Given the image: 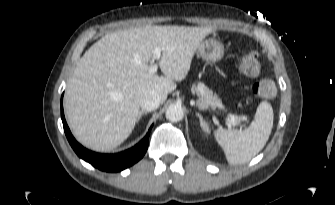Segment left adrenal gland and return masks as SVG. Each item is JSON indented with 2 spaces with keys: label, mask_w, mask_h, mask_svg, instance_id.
I'll list each match as a JSON object with an SVG mask.
<instances>
[{
  "label": "left adrenal gland",
  "mask_w": 335,
  "mask_h": 205,
  "mask_svg": "<svg viewBox=\"0 0 335 205\" xmlns=\"http://www.w3.org/2000/svg\"><path fill=\"white\" fill-rule=\"evenodd\" d=\"M196 116L200 120V126L202 130L208 132V123L204 120L203 116L199 112H196Z\"/></svg>",
  "instance_id": "a2214340"
}]
</instances>
